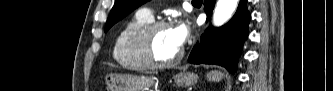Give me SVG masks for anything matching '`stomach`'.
Returning a JSON list of instances; mask_svg holds the SVG:
<instances>
[{
  "mask_svg": "<svg viewBox=\"0 0 333 91\" xmlns=\"http://www.w3.org/2000/svg\"><path fill=\"white\" fill-rule=\"evenodd\" d=\"M174 79L178 86L189 87L197 83L198 77L194 73L183 72L177 74ZM154 81L151 77L127 74L110 73L105 76L107 91H148Z\"/></svg>",
  "mask_w": 333,
  "mask_h": 91,
  "instance_id": "1",
  "label": "stomach"
}]
</instances>
